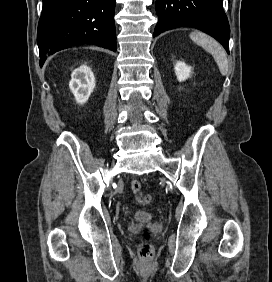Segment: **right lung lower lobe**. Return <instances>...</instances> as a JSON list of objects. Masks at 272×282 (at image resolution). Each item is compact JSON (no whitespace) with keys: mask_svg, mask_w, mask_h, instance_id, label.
Wrapping results in <instances>:
<instances>
[{"mask_svg":"<svg viewBox=\"0 0 272 282\" xmlns=\"http://www.w3.org/2000/svg\"><path fill=\"white\" fill-rule=\"evenodd\" d=\"M115 0H43L37 43L40 66L49 55L79 44L116 51Z\"/></svg>","mask_w":272,"mask_h":282,"instance_id":"right-lung-lower-lobe-1","label":"right lung lower lobe"}]
</instances>
